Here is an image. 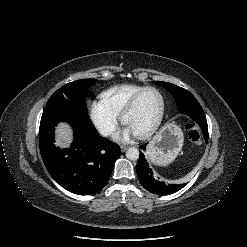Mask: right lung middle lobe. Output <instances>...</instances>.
Segmentation results:
<instances>
[{"label":"right lung middle lobe","instance_id":"obj_1","mask_svg":"<svg viewBox=\"0 0 247 247\" xmlns=\"http://www.w3.org/2000/svg\"><path fill=\"white\" fill-rule=\"evenodd\" d=\"M96 82V79H80L68 83L58 89L48 100L46 105H67L75 110L88 113L86 105V91Z\"/></svg>","mask_w":247,"mask_h":247}]
</instances>
